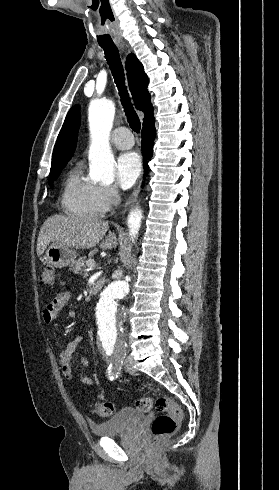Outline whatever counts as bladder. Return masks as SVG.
Returning a JSON list of instances; mask_svg holds the SVG:
<instances>
[{
    "instance_id": "bladder-1",
    "label": "bladder",
    "mask_w": 279,
    "mask_h": 490,
    "mask_svg": "<svg viewBox=\"0 0 279 490\" xmlns=\"http://www.w3.org/2000/svg\"><path fill=\"white\" fill-rule=\"evenodd\" d=\"M145 413L136 407L123 406L116 415L91 425L93 436L99 438L112 437L121 432H131L143 421Z\"/></svg>"
}]
</instances>
